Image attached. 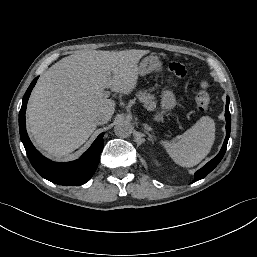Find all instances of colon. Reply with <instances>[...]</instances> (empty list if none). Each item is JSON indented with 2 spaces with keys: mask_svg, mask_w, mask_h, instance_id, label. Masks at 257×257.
Here are the masks:
<instances>
[{
  "mask_svg": "<svg viewBox=\"0 0 257 257\" xmlns=\"http://www.w3.org/2000/svg\"><path fill=\"white\" fill-rule=\"evenodd\" d=\"M208 87L207 83H203L195 96V105L199 111H206L210 106L211 98Z\"/></svg>",
  "mask_w": 257,
  "mask_h": 257,
  "instance_id": "5ec220e1",
  "label": "colon"
}]
</instances>
